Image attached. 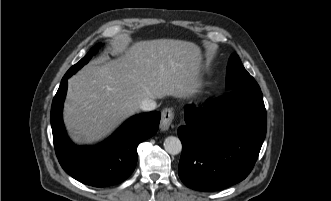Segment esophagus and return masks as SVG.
<instances>
[{
    "instance_id": "esophagus-1",
    "label": "esophagus",
    "mask_w": 331,
    "mask_h": 201,
    "mask_svg": "<svg viewBox=\"0 0 331 201\" xmlns=\"http://www.w3.org/2000/svg\"><path fill=\"white\" fill-rule=\"evenodd\" d=\"M174 119V111L172 108H165L162 111L160 129L166 131L170 128L172 121Z\"/></svg>"
}]
</instances>
